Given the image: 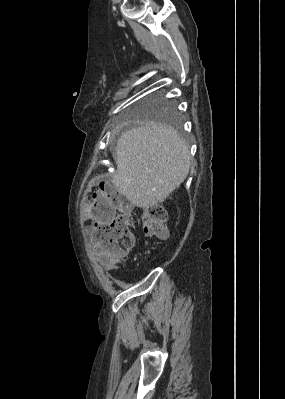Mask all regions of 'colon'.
<instances>
[{"label": "colon", "instance_id": "5ec220e1", "mask_svg": "<svg viewBox=\"0 0 285 399\" xmlns=\"http://www.w3.org/2000/svg\"><path fill=\"white\" fill-rule=\"evenodd\" d=\"M122 206V199L115 187L101 183L83 205V215L93 221V238L96 244L110 257L122 259L133 249V217L153 235L165 237L168 234L167 214L162 206L139 208L132 214H116Z\"/></svg>", "mask_w": 285, "mask_h": 399}]
</instances>
